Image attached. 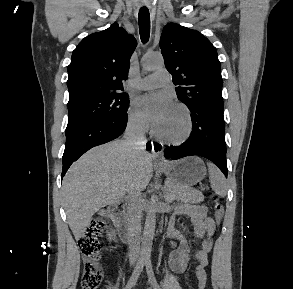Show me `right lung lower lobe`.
<instances>
[{
    "instance_id": "98d812e1",
    "label": "right lung lower lobe",
    "mask_w": 293,
    "mask_h": 289,
    "mask_svg": "<svg viewBox=\"0 0 293 289\" xmlns=\"http://www.w3.org/2000/svg\"><path fill=\"white\" fill-rule=\"evenodd\" d=\"M127 125V114L93 122L66 134V145L62 158V178L71 164L86 151L119 137ZM151 150V144L147 143Z\"/></svg>"
}]
</instances>
